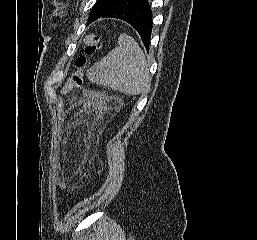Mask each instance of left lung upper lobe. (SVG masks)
<instances>
[{
	"label": "left lung upper lobe",
	"mask_w": 257,
	"mask_h": 240,
	"mask_svg": "<svg viewBox=\"0 0 257 240\" xmlns=\"http://www.w3.org/2000/svg\"><path fill=\"white\" fill-rule=\"evenodd\" d=\"M120 0H97L89 13V22L100 18L108 9L116 5Z\"/></svg>",
	"instance_id": "5c2ea615"
}]
</instances>
